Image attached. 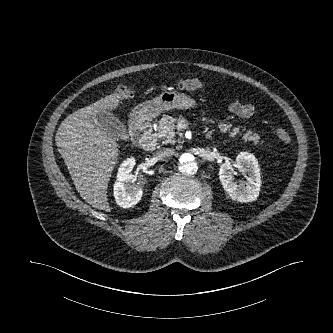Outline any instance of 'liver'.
<instances>
[{
	"mask_svg": "<svg viewBox=\"0 0 333 333\" xmlns=\"http://www.w3.org/2000/svg\"><path fill=\"white\" fill-rule=\"evenodd\" d=\"M121 99V93H113L75 111L62 122L57 133V146L76 190L87 203L106 212L111 211L107 187L119 145L116 138L95 126L93 116L99 110H115Z\"/></svg>",
	"mask_w": 333,
	"mask_h": 333,
	"instance_id": "liver-1",
	"label": "liver"
}]
</instances>
